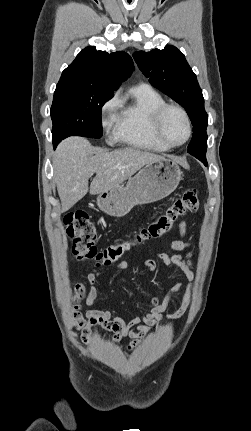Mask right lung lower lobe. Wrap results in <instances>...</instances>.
I'll list each match as a JSON object with an SVG mask.
<instances>
[{
  "label": "right lung lower lobe",
  "instance_id": "right-lung-lower-lobe-1",
  "mask_svg": "<svg viewBox=\"0 0 251 431\" xmlns=\"http://www.w3.org/2000/svg\"><path fill=\"white\" fill-rule=\"evenodd\" d=\"M57 144H58V143H57L56 141H54V140H53L54 148L57 146Z\"/></svg>",
  "mask_w": 251,
  "mask_h": 431
}]
</instances>
